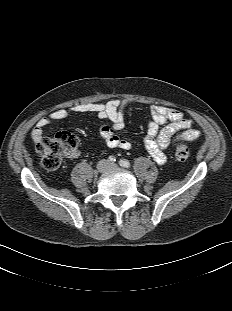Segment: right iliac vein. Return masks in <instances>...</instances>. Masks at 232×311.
I'll return each mask as SVG.
<instances>
[{
  "label": "right iliac vein",
  "mask_w": 232,
  "mask_h": 311,
  "mask_svg": "<svg viewBox=\"0 0 232 311\" xmlns=\"http://www.w3.org/2000/svg\"><path fill=\"white\" fill-rule=\"evenodd\" d=\"M108 166H109L108 163L103 161L98 165L97 168L99 172H105L108 169Z\"/></svg>",
  "instance_id": "obj_1"
}]
</instances>
